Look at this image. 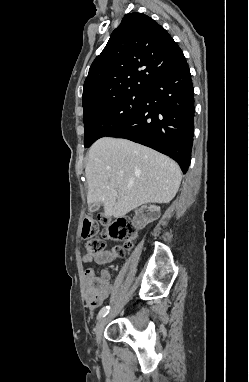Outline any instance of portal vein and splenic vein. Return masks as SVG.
I'll list each match as a JSON object with an SVG mask.
<instances>
[{
    "label": "portal vein and splenic vein",
    "mask_w": 249,
    "mask_h": 382,
    "mask_svg": "<svg viewBox=\"0 0 249 382\" xmlns=\"http://www.w3.org/2000/svg\"><path fill=\"white\" fill-rule=\"evenodd\" d=\"M112 194L116 196L118 193L117 191H112Z\"/></svg>",
    "instance_id": "18ae733b"
}]
</instances>
